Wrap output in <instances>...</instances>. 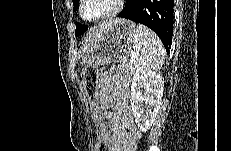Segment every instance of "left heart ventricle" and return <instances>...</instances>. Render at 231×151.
<instances>
[{
  "instance_id": "b2bd125f",
  "label": "left heart ventricle",
  "mask_w": 231,
  "mask_h": 151,
  "mask_svg": "<svg viewBox=\"0 0 231 151\" xmlns=\"http://www.w3.org/2000/svg\"><path fill=\"white\" fill-rule=\"evenodd\" d=\"M113 0H88L84 9L87 17H95L108 12L112 8Z\"/></svg>"
}]
</instances>
